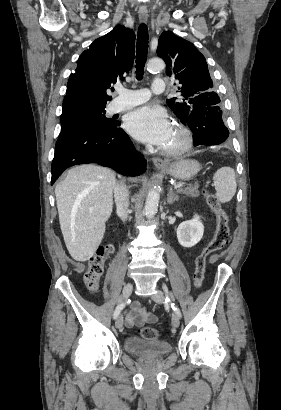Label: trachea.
Here are the masks:
<instances>
[{"instance_id":"obj_1","label":"trachea","mask_w":281,"mask_h":410,"mask_svg":"<svg viewBox=\"0 0 281 410\" xmlns=\"http://www.w3.org/2000/svg\"><path fill=\"white\" fill-rule=\"evenodd\" d=\"M148 29L145 24H141L137 34L136 44V78L142 80L144 75V67L148 54Z\"/></svg>"}]
</instances>
